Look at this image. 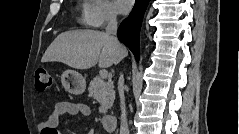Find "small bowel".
Listing matches in <instances>:
<instances>
[{
    "label": "small bowel",
    "mask_w": 239,
    "mask_h": 134,
    "mask_svg": "<svg viewBox=\"0 0 239 134\" xmlns=\"http://www.w3.org/2000/svg\"><path fill=\"white\" fill-rule=\"evenodd\" d=\"M64 114L82 115L87 117L90 116L91 109L88 105L81 102L60 101L56 103L49 117L39 124L41 134H58L56 129L58 120L59 117Z\"/></svg>",
    "instance_id": "c3829d8e"
}]
</instances>
